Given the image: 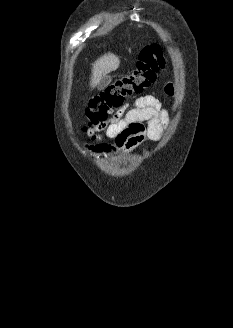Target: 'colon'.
<instances>
[{
	"label": "colon",
	"mask_w": 233,
	"mask_h": 328,
	"mask_svg": "<svg viewBox=\"0 0 233 328\" xmlns=\"http://www.w3.org/2000/svg\"><path fill=\"white\" fill-rule=\"evenodd\" d=\"M167 66V60L159 45L144 47L135 63L134 69L124 74L89 101L86 116L95 126L106 122L114 110L120 108L126 97L141 94Z\"/></svg>",
	"instance_id": "1"
}]
</instances>
